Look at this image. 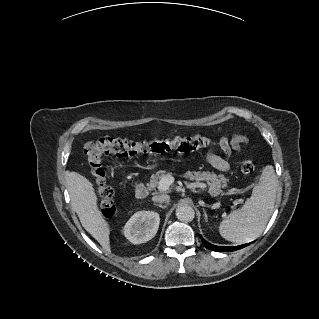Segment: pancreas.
<instances>
[{"label":"pancreas","instance_id":"cf45deb5","mask_svg":"<svg viewBox=\"0 0 319 319\" xmlns=\"http://www.w3.org/2000/svg\"><path fill=\"white\" fill-rule=\"evenodd\" d=\"M165 175H168L166 171L160 170L153 174L150 179V187H157L159 180ZM186 178L195 180L197 183L200 181H206L209 186V193L213 196H217L220 193L221 187H226L228 180L223 175H217L214 172H200L194 171L189 172Z\"/></svg>","mask_w":319,"mask_h":319}]
</instances>
